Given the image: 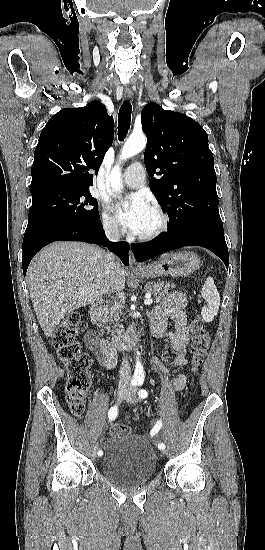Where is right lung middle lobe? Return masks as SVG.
<instances>
[{"label":"right lung middle lobe","mask_w":265,"mask_h":550,"mask_svg":"<svg viewBox=\"0 0 265 550\" xmlns=\"http://www.w3.org/2000/svg\"><path fill=\"white\" fill-rule=\"evenodd\" d=\"M31 195L25 233L60 222L99 220L97 200L89 190L46 186L31 189Z\"/></svg>","instance_id":"dd1d6c3e"}]
</instances>
